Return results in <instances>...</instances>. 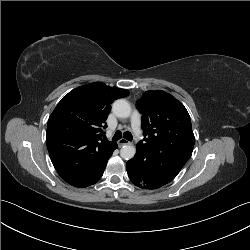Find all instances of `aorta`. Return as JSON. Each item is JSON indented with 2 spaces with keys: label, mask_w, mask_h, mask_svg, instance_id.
Masks as SVG:
<instances>
[{
  "label": "aorta",
  "mask_w": 250,
  "mask_h": 250,
  "mask_svg": "<svg viewBox=\"0 0 250 250\" xmlns=\"http://www.w3.org/2000/svg\"><path fill=\"white\" fill-rule=\"evenodd\" d=\"M113 113L120 118H127L131 114V106L125 99H117L112 104ZM136 149L133 145H124L120 150V156L125 160L134 157Z\"/></svg>",
  "instance_id": "aorta-1"
}]
</instances>
